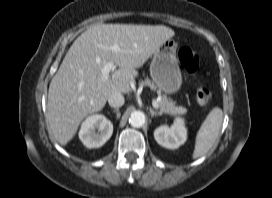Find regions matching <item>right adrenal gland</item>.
Wrapping results in <instances>:
<instances>
[{"label":"right adrenal gland","mask_w":272,"mask_h":198,"mask_svg":"<svg viewBox=\"0 0 272 198\" xmlns=\"http://www.w3.org/2000/svg\"><path fill=\"white\" fill-rule=\"evenodd\" d=\"M112 111L118 113L119 112V108L113 109Z\"/></svg>","instance_id":"1"}]
</instances>
